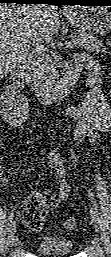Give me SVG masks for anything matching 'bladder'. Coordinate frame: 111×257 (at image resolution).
<instances>
[{"instance_id": "bladder-1", "label": "bladder", "mask_w": 111, "mask_h": 257, "mask_svg": "<svg viewBox=\"0 0 111 257\" xmlns=\"http://www.w3.org/2000/svg\"><path fill=\"white\" fill-rule=\"evenodd\" d=\"M72 249V241L63 238L44 237L38 244V251L44 255H65Z\"/></svg>"}]
</instances>
